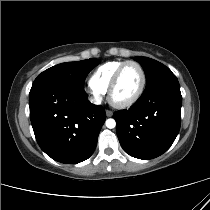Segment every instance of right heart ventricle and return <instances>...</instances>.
Returning <instances> with one entry per match:
<instances>
[{"label":"right heart ventricle","mask_w":210,"mask_h":210,"mask_svg":"<svg viewBox=\"0 0 210 210\" xmlns=\"http://www.w3.org/2000/svg\"><path fill=\"white\" fill-rule=\"evenodd\" d=\"M123 62L125 61L114 60L99 66L90 76V85L101 93H106L114 73Z\"/></svg>","instance_id":"e07e8e85"}]
</instances>
